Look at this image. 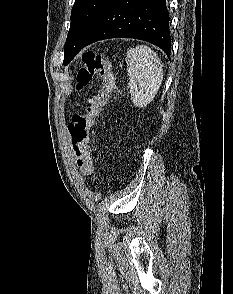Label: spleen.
I'll use <instances>...</instances> for the list:
<instances>
[{
    "instance_id": "1",
    "label": "spleen",
    "mask_w": 233,
    "mask_h": 294,
    "mask_svg": "<svg viewBox=\"0 0 233 294\" xmlns=\"http://www.w3.org/2000/svg\"><path fill=\"white\" fill-rule=\"evenodd\" d=\"M128 86L136 107L144 108L154 99L163 81L158 55L146 45L129 49L126 57Z\"/></svg>"
}]
</instances>
